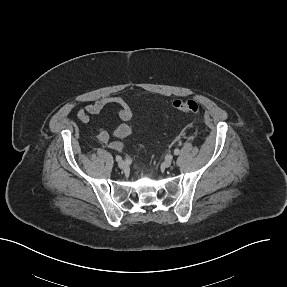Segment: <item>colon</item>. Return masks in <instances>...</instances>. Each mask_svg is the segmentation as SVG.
<instances>
[{
    "mask_svg": "<svg viewBox=\"0 0 287 287\" xmlns=\"http://www.w3.org/2000/svg\"><path fill=\"white\" fill-rule=\"evenodd\" d=\"M173 107L183 114H198L200 105L193 99H179L173 102Z\"/></svg>",
    "mask_w": 287,
    "mask_h": 287,
    "instance_id": "1",
    "label": "colon"
}]
</instances>
